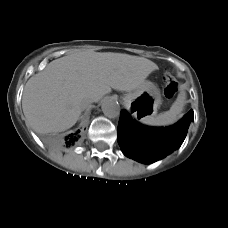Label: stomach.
I'll return each mask as SVG.
<instances>
[{"label":"stomach","mask_w":228,"mask_h":228,"mask_svg":"<svg viewBox=\"0 0 228 228\" xmlns=\"http://www.w3.org/2000/svg\"><path fill=\"white\" fill-rule=\"evenodd\" d=\"M136 108L134 113L141 121L156 115L162 100L159 88L150 81H144L138 88L125 97Z\"/></svg>","instance_id":"obj_1"}]
</instances>
